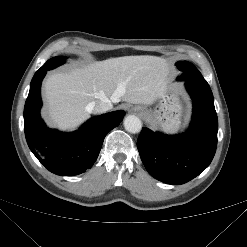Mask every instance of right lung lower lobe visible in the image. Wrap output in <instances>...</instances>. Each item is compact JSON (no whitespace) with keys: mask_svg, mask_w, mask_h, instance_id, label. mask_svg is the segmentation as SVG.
Instances as JSON below:
<instances>
[{"mask_svg":"<svg viewBox=\"0 0 247 247\" xmlns=\"http://www.w3.org/2000/svg\"><path fill=\"white\" fill-rule=\"evenodd\" d=\"M46 71H37L24 107V130L30 150L52 173L78 175L95 163L107 133L122 121L125 112L93 117L79 130L61 133L46 127L40 116L41 82Z\"/></svg>","mask_w":247,"mask_h":247,"instance_id":"obj_1","label":"right lung lower lobe"}]
</instances>
